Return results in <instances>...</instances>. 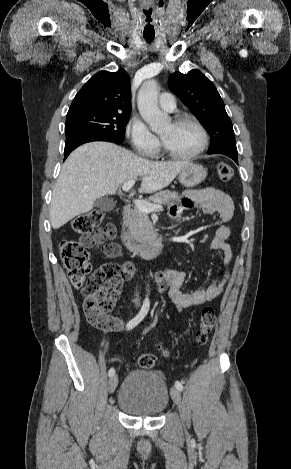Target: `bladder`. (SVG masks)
Segmentation results:
<instances>
[{
	"label": "bladder",
	"instance_id": "1",
	"mask_svg": "<svg viewBox=\"0 0 291 469\" xmlns=\"http://www.w3.org/2000/svg\"><path fill=\"white\" fill-rule=\"evenodd\" d=\"M169 391L164 380L154 372L136 369L125 377L118 396V406L134 416H158L168 406Z\"/></svg>",
	"mask_w": 291,
	"mask_h": 469
}]
</instances>
